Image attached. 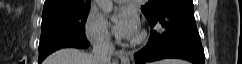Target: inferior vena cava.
<instances>
[{
	"label": "inferior vena cava",
	"mask_w": 242,
	"mask_h": 64,
	"mask_svg": "<svg viewBox=\"0 0 242 64\" xmlns=\"http://www.w3.org/2000/svg\"><path fill=\"white\" fill-rule=\"evenodd\" d=\"M114 45L107 36L101 37L93 44V53L96 64H111Z\"/></svg>",
	"instance_id": "1"
}]
</instances>
